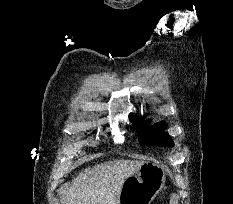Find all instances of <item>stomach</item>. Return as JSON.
Instances as JSON below:
<instances>
[{
	"instance_id": "obj_1",
	"label": "stomach",
	"mask_w": 233,
	"mask_h": 204,
	"mask_svg": "<svg viewBox=\"0 0 233 204\" xmlns=\"http://www.w3.org/2000/svg\"><path fill=\"white\" fill-rule=\"evenodd\" d=\"M165 180L166 173L161 165L143 162L137 173L124 181L118 204H151Z\"/></svg>"
}]
</instances>
